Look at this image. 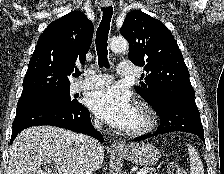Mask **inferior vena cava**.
I'll return each instance as SVG.
<instances>
[{"label":"inferior vena cava","mask_w":224,"mask_h":174,"mask_svg":"<svg viewBox=\"0 0 224 174\" xmlns=\"http://www.w3.org/2000/svg\"><path fill=\"white\" fill-rule=\"evenodd\" d=\"M94 127L98 130L101 129V123L99 121H95ZM83 143L85 146V150L88 154H94L97 150L101 148L97 140L90 138L88 136H83ZM83 174H93L91 171H85Z\"/></svg>","instance_id":"602c4592"}]
</instances>
